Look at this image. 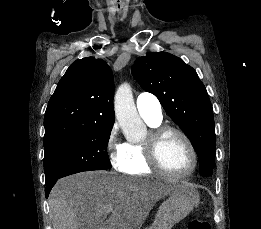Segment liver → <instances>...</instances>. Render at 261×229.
<instances>
[{
  "label": "liver",
  "mask_w": 261,
  "mask_h": 229,
  "mask_svg": "<svg viewBox=\"0 0 261 229\" xmlns=\"http://www.w3.org/2000/svg\"><path fill=\"white\" fill-rule=\"evenodd\" d=\"M172 193L171 183L154 179L118 177L112 171L77 173L60 179L50 193L52 227L141 229L155 203Z\"/></svg>",
  "instance_id": "6515ba94"
}]
</instances>
